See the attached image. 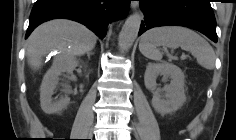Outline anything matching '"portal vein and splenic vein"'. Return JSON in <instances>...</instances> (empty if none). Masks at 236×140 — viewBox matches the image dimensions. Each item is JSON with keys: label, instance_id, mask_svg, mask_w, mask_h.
Segmentation results:
<instances>
[{"label": "portal vein and splenic vein", "instance_id": "1", "mask_svg": "<svg viewBox=\"0 0 236 140\" xmlns=\"http://www.w3.org/2000/svg\"><path fill=\"white\" fill-rule=\"evenodd\" d=\"M185 58H186V56H185V55H182V56H181V59H185Z\"/></svg>", "mask_w": 236, "mask_h": 140}]
</instances>
